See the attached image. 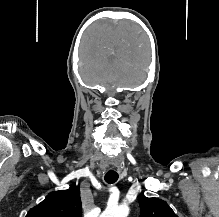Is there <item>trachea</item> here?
Wrapping results in <instances>:
<instances>
[{
	"mask_svg": "<svg viewBox=\"0 0 219 217\" xmlns=\"http://www.w3.org/2000/svg\"><path fill=\"white\" fill-rule=\"evenodd\" d=\"M119 175L115 171H108L105 175V181L108 184H113L118 180Z\"/></svg>",
	"mask_w": 219,
	"mask_h": 217,
	"instance_id": "1",
	"label": "trachea"
}]
</instances>
